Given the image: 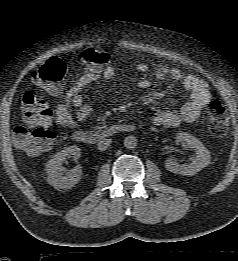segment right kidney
<instances>
[{"label": "right kidney", "instance_id": "ca27d5eb", "mask_svg": "<svg viewBox=\"0 0 238 261\" xmlns=\"http://www.w3.org/2000/svg\"><path fill=\"white\" fill-rule=\"evenodd\" d=\"M73 155L75 159L80 156V148L76 145L69 146L52 156L46 163L47 182L56 189H70L82 178V169L77 165L66 175L62 173V163L67 157Z\"/></svg>", "mask_w": 238, "mask_h": 261}]
</instances>
